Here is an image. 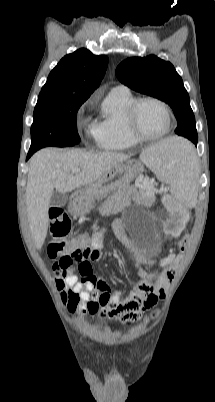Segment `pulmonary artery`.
<instances>
[{"instance_id":"pulmonary-artery-1","label":"pulmonary artery","mask_w":215,"mask_h":402,"mask_svg":"<svg viewBox=\"0 0 215 402\" xmlns=\"http://www.w3.org/2000/svg\"><path fill=\"white\" fill-rule=\"evenodd\" d=\"M114 89H127L125 86H117Z\"/></svg>"}]
</instances>
